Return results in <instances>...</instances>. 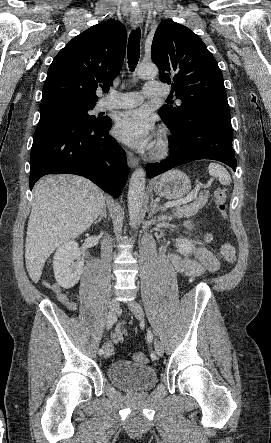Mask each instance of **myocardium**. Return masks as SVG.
<instances>
[{"label":"myocardium","instance_id":"f54148a6","mask_svg":"<svg viewBox=\"0 0 271 443\" xmlns=\"http://www.w3.org/2000/svg\"><path fill=\"white\" fill-rule=\"evenodd\" d=\"M171 149L172 143L169 136L166 133L161 132L154 142L152 156L157 159L165 158L170 154Z\"/></svg>","mask_w":271,"mask_h":443}]
</instances>
